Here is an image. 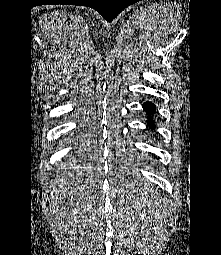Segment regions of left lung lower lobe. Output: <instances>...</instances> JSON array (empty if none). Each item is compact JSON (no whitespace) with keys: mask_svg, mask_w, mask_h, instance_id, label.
<instances>
[{"mask_svg":"<svg viewBox=\"0 0 221 255\" xmlns=\"http://www.w3.org/2000/svg\"><path fill=\"white\" fill-rule=\"evenodd\" d=\"M144 110L147 111V113L149 115H151L152 113H154L155 111V105L152 104L151 102H146L144 104ZM148 123H150V128L153 127V124H152V119H149L148 120Z\"/></svg>","mask_w":221,"mask_h":255,"instance_id":"left-lung-lower-lobe-1","label":"left lung lower lobe"}]
</instances>
